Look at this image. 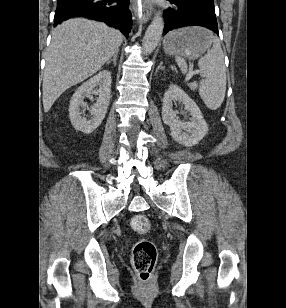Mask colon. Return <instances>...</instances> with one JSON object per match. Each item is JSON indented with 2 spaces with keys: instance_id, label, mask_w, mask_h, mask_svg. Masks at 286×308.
I'll return each instance as SVG.
<instances>
[{
  "instance_id": "5ec220e1",
  "label": "colon",
  "mask_w": 286,
  "mask_h": 308,
  "mask_svg": "<svg viewBox=\"0 0 286 308\" xmlns=\"http://www.w3.org/2000/svg\"><path fill=\"white\" fill-rule=\"evenodd\" d=\"M131 227L140 233L150 229V221L146 215L140 214L133 217ZM157 260V249L148 240H139L132 250V264L142 283H148Z\"/></svg>"
}]
</instances>
